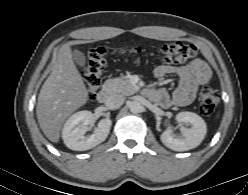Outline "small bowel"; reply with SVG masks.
I'll return each instance as SVG.
<instances>
[{"instance_id": "obj_1", "label": "small bowel", "mask_w": 248, "mask_h": 195, "mask_svg": "<svg viewBox=\"0 0 248 195\" xmlns=\"http://www.w3.org/2000/svg\"><path fill=\"white\" fill-rule=\"evenodd\" d=\"M168 74H175L179 77L176 89L170 94L165 89H151L149 95L162 107L189 105L197 91L208 85L212 79V73L206 64L200 60H194L186 65H159L154 70L156 78L161 79Z\"/></svg>"}]
</instances>
